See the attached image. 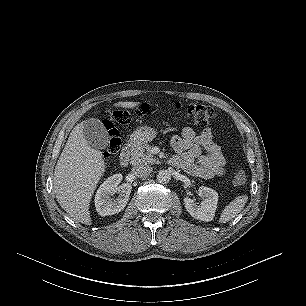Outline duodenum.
Segmentation results:
<instances>
[{"label": "duodenum", "instance_id": "1", "mask_svg": "<svg viewBox=\"0 0 306 306\" xmlns=\"http://www.w3.org/2000/svg\"><path fill=\"white\" fill-rule=\"evenodd\" d=\"M133 149H134V143L133 142H127L124 145V147L122 148V151L120 153V156H119V164H120L121 167H123V168L127 167Z\"/></svg>", "mask_w": 306, "mask_h": 306}]
</instances>
